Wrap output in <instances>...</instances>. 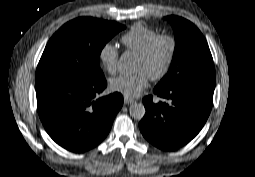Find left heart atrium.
<instances>
[{"label": "left heart atrium", "instance_id": "39dd6f15", "mask_svg": "<svg viewBox=\"0 0 255 177\" xmlns=\"http://www.w3.org/2000/svg\"><path fill=\"white\" fill-rule=\"evenodd\" d=\"M148 86V76L144 72L133 75H121L110 82L112 91L125 95L127 98L139 96Z\"/></svg>", "mask_w": 255, "mask_h": 177}]
</instances>
